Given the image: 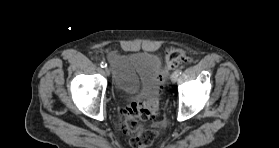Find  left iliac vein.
I'll use <instances>...</instances> for the list:
<instances>
[{
  "label": "left iliac vein",
  "mask_w": 279,
  "mask_h": 148,
  "mask_svg": "<svg viewBox=\"0 0 279 148\" xmlns=\"http://www.w3.org/2000/svg\"><path fill=\"white\" fill-rule=\"evenodd\" d=\"M177 80H178V75H177L176 72H174V73L171 75V81H172L173 83H175V82H177Z\"/></svg>",
  "instance_id": "obj_1"
}]
</instances>
